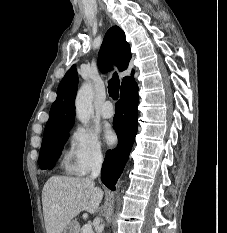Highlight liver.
I'll return each mask as SVG.
<instances>
[{"label": "liver", "mask_w": 227, "mask_h": 233, "mask_svg": "<svg viewBox=\"0 0 227 233\" xmlns=\"http://www.w3.org/2000/svg\"><path fill=\"white\" fill-rule=\"evenodd\" d=\"M102 198L92 178L50 177L42 190L46 232L62 233L81 211L95 213Z\"/></svg>", "instance_id": "liver-1"}]
</instances>
